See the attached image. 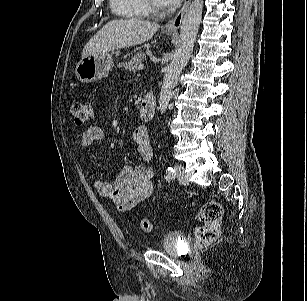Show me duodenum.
<instances>
[{"label": "duodenum", "instance_id": "410a0bca", "mask_svg": "<svg viewBox=\"0 0 307 301\" xmlns=\"http://www.w3.org/2000/svg\"><path fill=\"white\" fill-rule=\"evenodd\" d=\"M156 112V99L151 93H146L141 101L139 108V117L150 121L153 119Z\"/></svg>", "mask_w": 307, "mask_h": 301}]
</instances>
